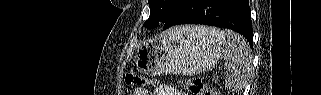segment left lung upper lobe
Segmentation results:
<instances>
[{
    "mask_svg": "<svg viewBox=\"0 0 321 95\" xmlns=\"http://www.w3.org/2000/svg\"><path fill=\"white\" fill-rule=\"evenodd\" d=\"M179 2L180 0H148L150 16L144 26L151 29L159 25L160 22L165 23Z\"/></svg>",
    "mask_w": 321,
    "mask_h": 95,
    "instance_id": "5c2ea615",
    "label": "left lung upper lobe"
}]
</instances>
